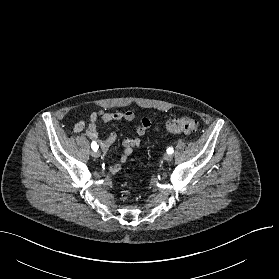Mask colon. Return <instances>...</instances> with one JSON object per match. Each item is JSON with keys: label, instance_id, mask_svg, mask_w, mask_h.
<instances>
[{"label": "colon", "instance_id": "1", "mask_svg": "<svg viewBox=\"0 0 279 279\" xmlns=\"http://www.w3.org/2000/svg\"><path fill=\"white\" fill-rule=\"evenodd\" d=\"M199 122L191 117H181L175 118L167 121L165 125L166 131L170 133H185V134H192L198 131ZM125 177H128V173H124Z\"/></svg>", "mask_w": 279, "mask_h": 279}]
</instances>
